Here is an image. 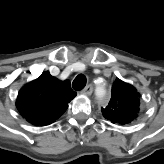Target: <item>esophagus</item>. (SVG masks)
<instances>
[{
    "mask_svg": "<svg viewBox=\"0 0 164 164\" xmlns=\"http://www.w3.org/2000/svg\"><path fill=\"white\" fill-rule=\"evenodd\" d=\"M93 92V86L92 85H87L83 90L82 93L85 95H91Z\"/></svg>",
    "mask_w": 164,
    "mask_h": 164,
    "instance_id": "esophagus-1",
    "label": "esophagus"
}]
</instances>
